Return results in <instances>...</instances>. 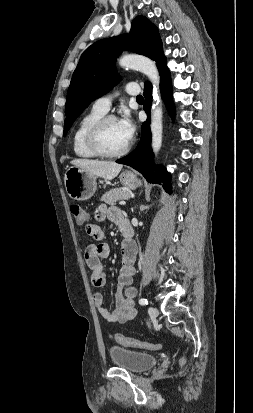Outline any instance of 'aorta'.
<instances>
[{
  "mask_svg": "<svg viewBox=\"0 0 253 413\" xmlns=\"http://www.w3.org/2000/svg\"><path fill=\"white\" fill-rule=\"evenodd\" d=\"M119 64L122 67L136 69L145 74L153 84V104L151 108V133L152 149L156 155L162 146V103L159 90L160 75L157 66L151 59L142 55H125L120 58Z\"/></svg>",
  "mask_w": 253,
  "mask_h": 413,
  "instance_id": "obj_1",
  "label": "aorta"
}]
</instances>
